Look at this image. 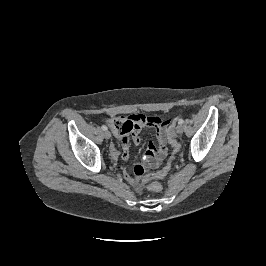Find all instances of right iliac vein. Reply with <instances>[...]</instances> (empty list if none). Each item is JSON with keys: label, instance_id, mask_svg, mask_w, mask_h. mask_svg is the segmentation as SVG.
<instances>
[{"label": "right iliac vein", "instance_id": "63e3f726", "mask_svg": "<svg viewBox=\"0 0 266 266\" xmlns=\"http://www.w3.org/2000/svg\"><path fill=\"white\" fill-rule=\"evenodd\" d=\"M104 137H105L106 139H110V138H111V133H110L108 130H105V131H104Z\"/></svg>", "mask_w": 266, "mask_h": 266}]
</instances>
